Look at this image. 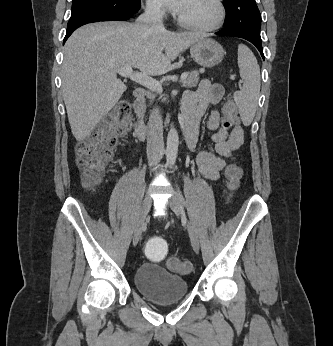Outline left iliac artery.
Returning <instances> with one entry per match:
<instances>
[{"mask_svg":"<svg viewBox=\"0 0 333 346\" xmlns=\"http://www.w3.org/2000/svg\"><path fill=\"white\" fill-rule=\"evenodd\" d=\"M177 188H178V196H179L180 200L182 201L183 205H186V202H185V200L181 194V191L179 190V187H177Z\"/></svg>","mask_w":333,"mask_h":346,"instance_id":"left-iliac-artery-1","label":"left iliac artery"}]
</instances>
